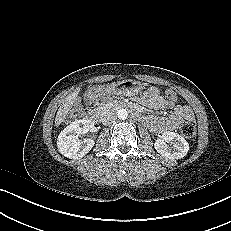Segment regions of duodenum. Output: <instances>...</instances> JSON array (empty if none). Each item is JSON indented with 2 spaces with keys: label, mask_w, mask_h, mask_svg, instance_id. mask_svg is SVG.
<instances>
[{
  "label": "duodenum",
  "mask_w": 231,
  "mask_h": 231,
  "mask_svg": "<svg viewBox=\"0 0 231 231\" xmlns=\"http://www.w3.org/2000/svg\"><path fill=\"white\" fill-rule=\"evenodd\" d=\"M115 108L116 109H127V110H131L132 113H133V116L138 119V120H142L143 119V116L141 115L140 112H138L137 110H135L134 106L130 103H124V102H121V103H117L115 105ZM87 119L93 121V122H97L99 121V115L93 111V110H89L87 111Z\"/></svg>",
  "instance_id": "obj_1"
}]
</instances>
